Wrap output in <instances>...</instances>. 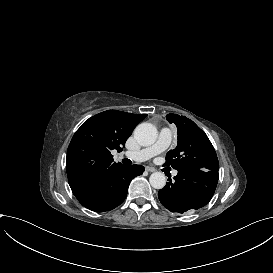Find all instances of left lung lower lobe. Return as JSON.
I'll list each match as a JSON object with an SVG mask.
<instances>
[{
  "label": "left lung lower lobe",
  "instance_id": "obj_1",
  "mask_svg": "<svg viewBox=\"0 0 273 273\" xmlns=\"http://www.w3.org/2000/svg\"><path fill=\"white\" fill-rule=\"evenodd\" d=\"M177 171L175 181L169 178L166 186L158 192L161 204L178 213L205 206L215 192L218 172L201 169Z\"/></svg>",
  "mask_w": 273,
  "mask_h": 273
}]
</instances>
